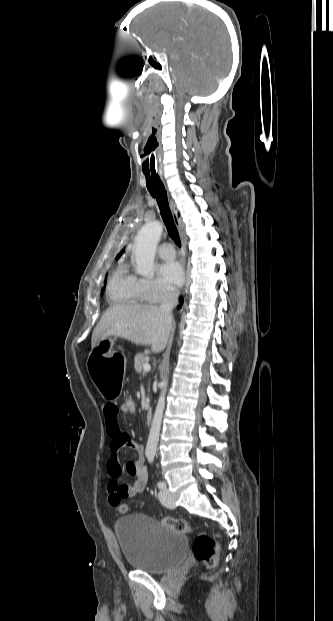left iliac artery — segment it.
I'll return each instance as SVG.
<instances>
[{
  "instance_id": "1",
  "label": "left iliac artery",
  "mask_w": 333,
  "mask_h": 621,
  "mask_svg": "<svg viewBox=\"0 0 333 621\" xmlns=\"http://www.w3.org/2000/svg\"><path fill=\"white\" fill-rule=\"evenodd\" d=\"M147 458H148L149 463H153V461H154V456L153 455H149ZM157 486H158L159 489H163V488L166 487V484L164 482H162V481H158Z\"/></svg>"
}]
</instances>
